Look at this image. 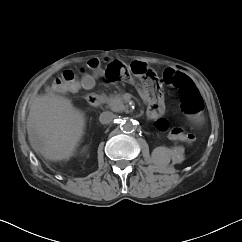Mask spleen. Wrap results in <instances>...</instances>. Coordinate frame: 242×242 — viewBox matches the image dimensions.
<instances>
[{"label": "spleen", "mask_w": 242, "mask_h": 242, "mask_svg": "<svg viewBox=\"0 0 242 242\" xmlns=\"http://www.w3.org/2000/svg\"><path fill=\"white\" fill-rule=\"evenodd\" d=\"M176 152V150H171V157H174L175 156V153Z\"/></svg>", "instance_id": "spleen-1"}]
</instances>
